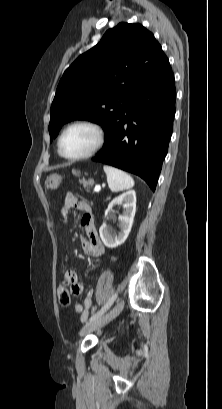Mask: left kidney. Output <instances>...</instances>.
<instances>
[{"instance_id": "left-kidney-1", "label": "left kidney", "mask_w": 222, "mask_h": 409, "mask_svg": "<svg viewBox=\"0 0 222 409\" xmlns=\"http://www.w3.org/2000/svg\"><path fill=\"white\" fill-rule=\"evenodd\" d=\"M114 206H123L124 212L119 216V221L121 222V232L118 235L112 233V229L106 224H103L100 229V237L104 245L108 248H115L125 242L127 239L136 212V193L134 190H129L124 192L120 196L114 198L108 205L105 211V217L110 218L114 216L112 213V208Z\"/></svg>"}]
</instances>
